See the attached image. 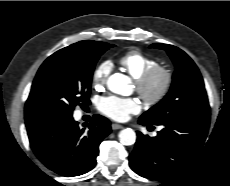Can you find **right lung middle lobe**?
<instances>
[{
	"instance_id": "right-lung-middle-lobe-1",
	"label": "right lung middle lobe",
	"mask_w": 230,
	"mask_h": 186,
	"mask_svg": "<svg viewBox=\"0 0 230 186\" xmlns=\"http://www.w3.org/2000/svg\"><path fill=\"white\" fill-rule=\"evenodd\" d=\"M110 47L114 45L86 40L52 54L38 70L25 108L39 117L72 116L76 105L90 103L95 64Z\"/></svg>"
}]
</instances>
